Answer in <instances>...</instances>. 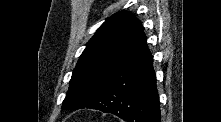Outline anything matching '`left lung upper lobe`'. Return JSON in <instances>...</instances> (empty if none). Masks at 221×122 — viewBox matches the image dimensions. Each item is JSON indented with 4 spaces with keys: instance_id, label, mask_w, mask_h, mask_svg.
Listing matches in <instances>:
<instances>
[{
    "instance_id": "obj_1",
    "label": "left lung upper lobe",
    "mask_w": 221,
    "mask_h": 122,
    "mask_svg": "<svg viewBox=\"0 0 221 122\" xmlns=\"http://www.w3.org/2000/svg\"><path fill=\"white\" fill-rule=\"evenodd\" d=\"M136 23L131 12L121 11L99 27L73 71L63 109H78L96 93L120 59Z\"/></svg>"
}]
</instances>
